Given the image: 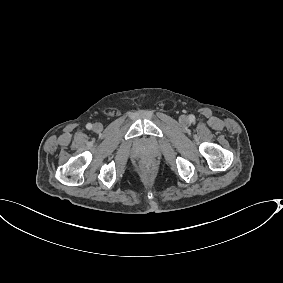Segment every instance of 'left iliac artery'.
<instances>
[{
	"mask_svg": "<svg viewBox=\"0 0 283 283\" xmlns=\"http://www.w3.org/2000/svg\"><path fill=\"white\" fill-rule=\"evenodd\" d=\"M189 119H190V121H194V119H195L194 115H190Z\"/></svg>",
	"mask_w": 283,
	"mask_h": 283,
	"instance_id": "obj_1",
	"label": "left iliac artery"
}]
</instances>
